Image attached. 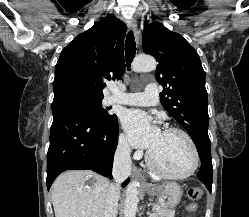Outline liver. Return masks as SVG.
<instances>
[{"mask_svg":"<svg viewBox=\"0 0 249 217\" xmlns=\"http://www.w3.org/2000/svg\"><path fill=\"white\" fill-rule=\"evenodd\" d=\"M108 190L109 181L92 171L61 174L51 188L55 217H104Z\"/></svg>","mask_w":249,"mask_h":217,"instance_id":"1","label":"liver"}]
</instances>
